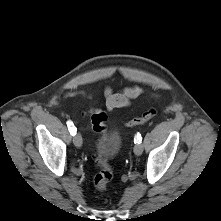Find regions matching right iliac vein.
<instances>
[{
    "instance_id": "63e3f726",
    "label": "right iliac vein",
    "mask_w": 221,
    "mask_h": 221,
    "mask_svg": "<svg viewBox=\"0 0 221 221\" xmlns=\"http://www.w3.org/2000/svg\"><path fill=\"white\" fill-rule=\"evenodd\" d=\"M73 143L76 147H81L82 146V137L80 134H75L73 137Z\"/></svg>"
}]
</instances>
